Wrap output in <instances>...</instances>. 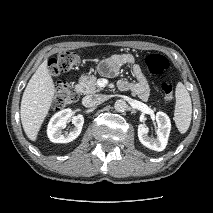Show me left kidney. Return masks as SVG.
Wrapping results in <instances>:
<instances>
[{"instance_id": "1", "label": "left kidney", "mask_w": 213, "mask_h": 213, "mask_svg": "<svg viewBox=\"0 0 213 213\" xmlns=\"http://www.w3.org/2000/svg\"><path fill=\"white\" fill-rule=\"evenodd\" d=\"M156 122L158 124L157 139H151L148 136V128L145 124L138 126V138L141 144L154 151H163L167 145L171 130L169 117L163 112L156 113Z\"/></svg>"}]
</instances>
